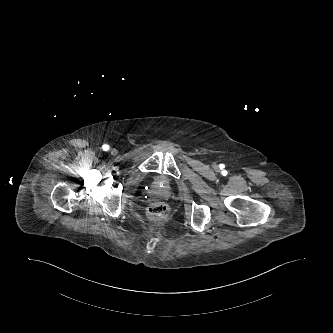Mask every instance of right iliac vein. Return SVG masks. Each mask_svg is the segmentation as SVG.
<instances>
[{
  "label": "right iliac vein",
  "instance_id": "obj_1",
  "mask_svg": "<svg viewBox=\"0 0 333 333\" xmlns=\"http://www.w3.org/2000/svg\"><path fill=\"white\" fill-rule=\"evenodd\" d=\"M110 153H111L112 155H116V154L118 153V151H117V149L112 148V149L110 150Z\"/></svg>",
  "mask_w": 333,
  "mask_h": 333
}]
</instances>
